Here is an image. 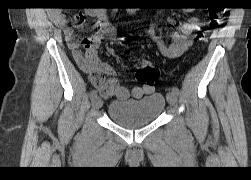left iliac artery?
I'll return each mask as SVG.
<instances>
[{
	"mask_svg": "<svg viewBox=\"0 0 251 180\" xmlns=\"http://www.w3.org/2000/svg\"><path fill=\"white\" fill-rule=\"evenodd\" d=\"M172 92L175 93L176 95H178V94H179V89H178V87H173V88H172Z\"/></svg>",
	"mask_w": 251,
	"mask_h": 180,
	"instance_id": "1",
	"label": "left iliac artery"
}]
</instances>
